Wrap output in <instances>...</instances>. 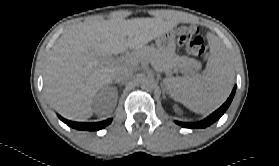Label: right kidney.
<instances>
[{
  "instance_id": "obj_1",
  "label": "right kidney",
  "mask_w": 279,
  "mask_h": 166,
  "mask_svg": "<svg viewBox=\"0 0 279 166\" xmlns=\"http://www.w3.org/2000/svg\"><path fill=\"white\" fill-rule=\"evenodd\" d=\"M110 95L113 98L112 106H114L118 98L117 92L115 91H110L108 89L102 90L95 96V100L98 102H106L109 100Z\"/></svg>"
}]
</instances>
